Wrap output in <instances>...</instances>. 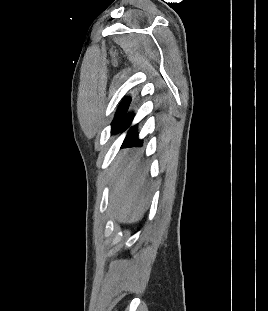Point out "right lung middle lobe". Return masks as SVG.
<instances>
[{
    "label": "right lung middle lobe",
    "mask_w": 268,
    "mask_h": 311,
    "mask_svg": "<svg viewBox=\"0 0 268 311\" xmlns=\"http://www.w3.org/2000/svg\"><path fill=\"white\" fill-rule=\"evenodd\" d=\"M130 97H127L119 106L116 114H115V117L112 121V128L119 122V120L124 116L129 104H130Z\"/></svg>",
    "instance_id": "obj_1"
}]
</instances>
